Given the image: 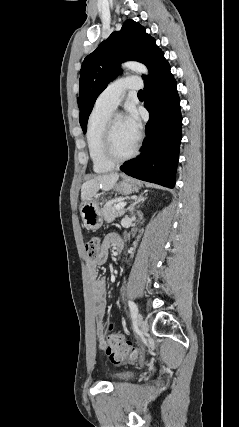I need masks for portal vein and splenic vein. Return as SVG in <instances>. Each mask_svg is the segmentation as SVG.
<instances>
[{"instance_id": "1", "label": "portal vein and splenic vein", "mask_w": 239, "mask_h": 427, "mask_svg": "<svg viewBox=\"0 0 239 427\" xmlns=\"http://www.w3.org/2000/svg\"><path fill=\"white\" fill-rule=\"evenodd\" d=\"M126 204H127L126 202H120V203L116 204L115 209L116 210L123 209L126 206Z\"/></svg>"}]
</instances>
